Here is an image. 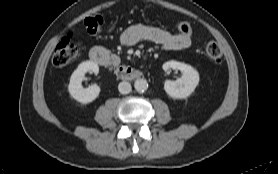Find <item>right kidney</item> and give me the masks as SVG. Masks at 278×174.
<instances>
[{
    "label": "right kidney",
    "instance_id": "right-kidney-1",
    "mask_svg": "<svg viewBox=\"0 0 278 174\" xmlns=\"http://www.w3.org/2000/svg\"><path fill=\"white\" fill-rule=\"evenodd\" d=\"M87 72L98 74V64L92 61H85L79 64L77 69L72 73L68 85V91L71 97L83 104L94 101L100 93V87L98 85H91L88 88L82 86V80Z\"/></svg>",
    "mask_w": 278,
    "mask_h": 174
}]
</instances>
